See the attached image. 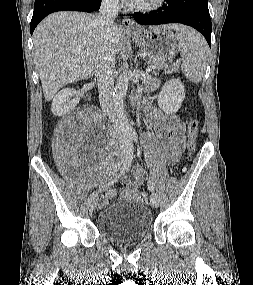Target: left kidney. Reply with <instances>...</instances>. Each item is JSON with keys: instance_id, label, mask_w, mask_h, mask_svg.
Instances as JSON below:
<instances>
[{"instance_id": "obj_1", "label": "left kidney", "mask_w": 253, "mask_h": 285, "mask_svg": "<svg viewBox=\"0 0 253 285\" xmlns=\"http://www.w3.org/2000/svg\"><path fill=\"white\" fill-rule=\"evenodd\" d=\"M185 98V87L180 79L166 81L157 97L158 106L166 114H175Z\"/></svg>"}]
</instances>
